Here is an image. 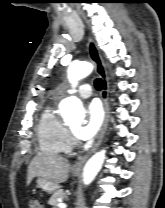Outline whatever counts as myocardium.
<instances>
[{
  "label": "myocardium",
  "instance_id": "myocardium-1",
  "mask_svg": "<svg viewBox=\"0 0 165 208\" xmlns=\"http://www.w3.org/2000/svg\"><path fill=\"white\" fill-rule=\"evenodd\" d=\"M68 133H69L70 145H77V140L74 131L69 129Z\"/></svg>",
  "mask_w": 165,
  "mask_h": 208
}]
</instances>
